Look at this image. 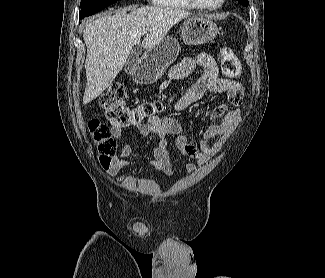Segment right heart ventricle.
<instances>
[{
    "label": "right heart ventricle",
    "instance_id": "obj_1",
    "mask_svg": "<svg viewBox=\"0 0 325 278\" xmlns=\"http://www.w3.org/2000/svg\"><path fill=\"white\" fill-rule=\"evenodd\" d=\"M152 2L160 7L173 9H195L194 5L189 0H152Z\"/></svg>",
    "mask_w": 325,
    "mask_h": 278
}]
</instances>
